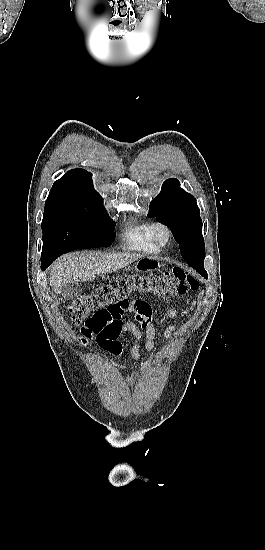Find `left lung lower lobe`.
I'll list each match as a JSON object with an SVG mask.
<instances>
[{"label":"left lung lower lobe","mask_w":265,"mask_h":550,"mask_svg":"<svg viewBox=\"0 0 265 550\" xmlns=\"http://www.w3.org/2000/svg\"><path fill=\"white\" fill-rule=\"evenodd\" d=\"M194 268L199 274H201L204 278H208L207 272L205 271L204 267H192Z\"/></svg>","instance_id":"0a47b994"}]
</instances>
